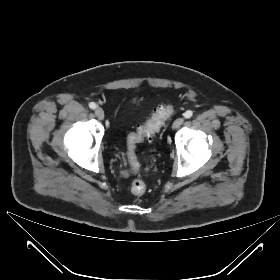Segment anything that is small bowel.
I'll return each instance as SVG.
<instances>
[{"mask_svg":"<svg viewBox=\"0 0 280 280\" xmlns=\"http://www.w3.org/2000/svg\"><path fill=\"white\" fill-rule=\"evenodd\" d=\"M142 103V98H133L130 102H129V105L132 107V108H137L141 105Z\"/></svg>","mask_w":280,"mask_h":280,"instance_id":"obj_1","label":"small bowel"}]
</instances>
